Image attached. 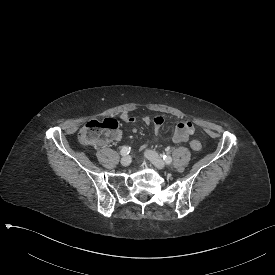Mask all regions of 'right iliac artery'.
<instances>
[{
    "label": "right iliac artery",
    "instance_id": "right-iliac-artery-1",
    "mask_svg": "<svg viewBox=\"0 0 275 275\" xmlns=\"http://www.w3.org/2000/svg\"><path fill=\"white\" fill-rule=\"evenodd\" d=\"M130 151H131V147H129V146H123L121 148L120 153H121L122 156H126V155H128L130 153Z\"/></svg>",
    "mask_w": 275,
    "mask_h": 275
}]
</instances>
